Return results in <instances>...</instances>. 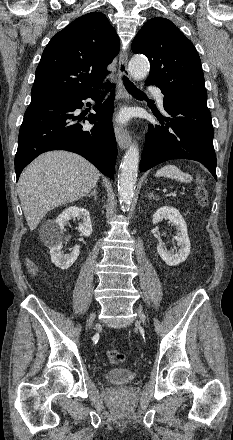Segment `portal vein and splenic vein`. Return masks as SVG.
Wrapping results in <instances>:
<instances>
[{
	"label": "portal vein and splenic vein",
	"mask_w": 233,
	"mask_h": 440,
	"mask_svg": "<svg viewBox=\"0 0 233 440\" xmlns=\"http://www.w3.org/2000/svg\"><path fill=\"white\" fill-rule=\"evenodd\" d=\"M181 194H184V192H181ZM170 196H173V197L177 196V192L174 191V192L170 193Z\"/></svg>",
	"instance_id": "1"
}]
</instances>
